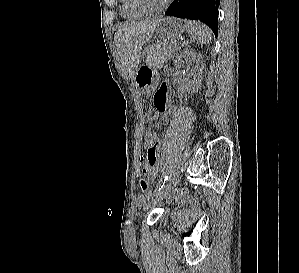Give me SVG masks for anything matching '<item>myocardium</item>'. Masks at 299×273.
Returning a JSON list of instances; mask_svg holds the SVG:
<instances>
[{
    "instance_id": "obj_1",
    "label": "myocardium",
    "mask_w": 299,
    "mask_h": 273,
    "mask_svg": "<svg viewBox=\"0 0 299 273\" xmlns=\"http://www.w3.org/2000/svg\"><path fill=\"white\" fill-rule=\"evenodd\" d=\"M131 10L142 15H155L163 12L169 5L170 0H164L162 4L156 8H147L143 6L139 0H127Z\"/></svg>"
}]
</instances>
